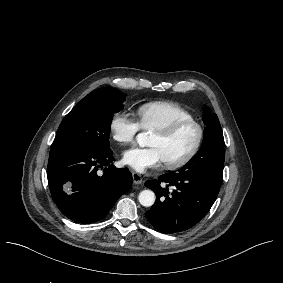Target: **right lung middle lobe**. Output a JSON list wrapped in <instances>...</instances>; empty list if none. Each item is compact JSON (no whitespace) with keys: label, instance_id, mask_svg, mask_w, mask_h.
I'll use <instances>...</instances> for the list:
<instances>
[{"label":"right lung middle lobe","instance_id":"1","mask_svg":"<svg viewBox=\"0 0 283 283\" xmlns=\"http://www.w3.org/2000/svg\"><path fill=\"white\" fill-rule=\"evenodd\" d=\"M125 95L112 87L92 91L65 116L51 150L87 148L110 151L112 117L123 108Z\"/></svg>","mask_w":283,"mask_h":283}]
</instances>
